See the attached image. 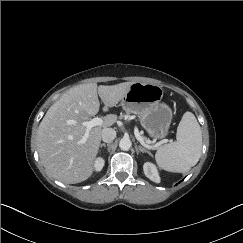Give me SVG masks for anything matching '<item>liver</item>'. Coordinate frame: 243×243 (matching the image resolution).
<instances>
[{"label": "liver", "mask_w": 243, "mask_h": 243, "mask_svg": "<svg viewBox=\"0 0 243 243\" xmlns=\"http://www.w3.org/2000/svg\"><path fill=\"white\" fill-rule=\"evenodd\" d=\"M132 82L116 85L88 83L65 92L46 112L37 131V148L41 163L55 179L75 184L88 179L101 143L102 130L112 126L117 116L109 114L103 124L90 129L87 140L81 143L86 132L82 122L95 116L100 108L98 95L104 103L103 111L116 106ZM74 120L75 124H69Z\"/></svg>", "instance_id": "liver-1"}]
</instances>
